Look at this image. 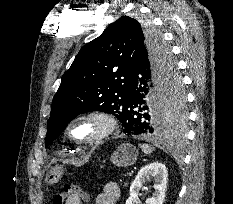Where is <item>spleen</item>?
<instances>
[{
	"mask_svg": "<svg viewBox=\"0 0 233 204\" xmlns=\"http://www.w3.org/2000/svg\"><path fill=\"white\" fill-rule=\"evenodd\" d=\"M140 148L145 154H151L154 151V147L148 144H139Z\"/></svg>",
	"mask_w": 233,
	"mask_h": 204,
	"instance_id": "3e777b00",
	"label": "spleen"
}]
</instances>
